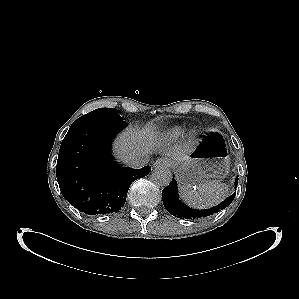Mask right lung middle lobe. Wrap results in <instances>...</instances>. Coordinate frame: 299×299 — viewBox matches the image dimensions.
Here are the masks:
<instances>
[{
	"label": "right lung middle lobe",
	"mask_w": 299,
	"mask_h": 299,
	"mask_svg": "<svg viewBox=\"0 0 299 299\" xmlns=\"http://www.w3.org/2000/svg\"><path fill=\"white\" fill-rule=\"evenodd\" d=\"M122 118L116 108H99L78 118L72 126L83 124H97L121 121Z\"/></svg>",
	"instance_id": "right-lung-middle-lobe-1"
}]
</instances>
